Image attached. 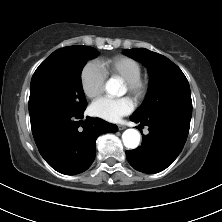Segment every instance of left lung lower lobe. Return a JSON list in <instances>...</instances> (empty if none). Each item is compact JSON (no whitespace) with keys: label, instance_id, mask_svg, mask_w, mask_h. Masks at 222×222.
I'll return each instance as SVG.
<instances>
[{"label":"left lung lower lobe","instance_id":"obj_1","mask_svg":"<svg viewBox=\"0 0 222 222\" xmlns=\"http://www.w3.org/2000/svg\"><path fill=\"white\" fill-rule=\"evenodd\" d=\"M131 121L149 127L142 134V144L126 151L130 165L144 173H157L166 169L180 154L186 142L191 118L177 110H167L150 116L132 115Z\"/></svg>","mask_w":222,"mask_h":222}]
</instances>
